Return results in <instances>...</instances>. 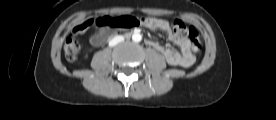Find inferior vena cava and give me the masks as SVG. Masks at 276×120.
<instances>
[{
	"instance_id": "602c4592",
	"label": "inferior vena cava",
	"mask_w": 276,
	"mask_h": 120,
	"mask_svg": "<svg viewBox=\"0 0 276 120\" xmlns=\"http://www.w3.org/2000/svg\"><path fill=\"white\" fill-rule=\"evenodd\" d=\"M123 40H124V38L122 36H116L109 42V45L110 46H115L117 43H119Z\"/></svg>"
}]
</instances>
